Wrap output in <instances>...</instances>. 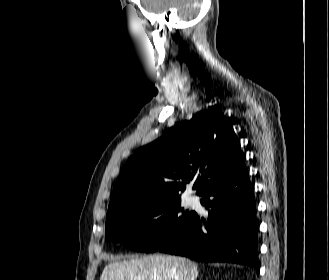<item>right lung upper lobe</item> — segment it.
Returning a JSON list of instances; mask_svg holds the SVG:
<instances>
[{"mask_svg":"<svg viewBox=\"0 0 329 280\" xmlns=\"http://www.w3.org/2000/svg\"><path fill=\"white\" fill-rule=\"evenodd\" d=\"M245 155L232 124L216 111H201L129 158L114 186L108 210L148 196H179L196 178L200 195L243 164Z\"/></svg>","mask_w":329,"mask_h":280,"instance_id":"obj_1","label":"right lung upper lobe"}]
</instances>
